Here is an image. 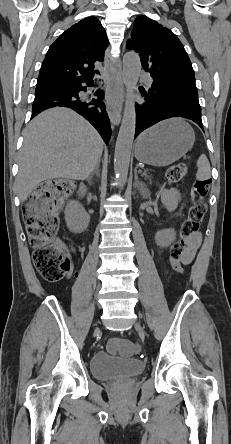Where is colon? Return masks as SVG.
Masks as SVG:
<instances>
[{
  "instance_id": "1",
  "label": "colon",
  "mask_w": 231,
  "mask_h": 444,
  "mask_svg": "<svg viewBox=\"0 0 231 444\" xmlns=\"http://www.w3.org/2000/svg\"><path fill=\"white\" fill-rule=\"evenodd\" d=\"M188 166L181 162L170 166L166 172L169 184L179 183L187 174ZM73 184L62 179L48 180L41 184L28 198L24 209V221L33 248V262L39 274L49 282L62 279L72 269V258L66 248L56 239L59 227L58 209L72 190ZM209 184L198 180L189 192L191 206L179 238L171 246L169 258L178 273L183 272V254L188 241L197 233L206 212L205 198ZM108 349L114 354L133 350L134 345L121 338H113Z\"/></svg>"
}]
</instances>
